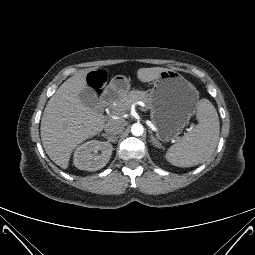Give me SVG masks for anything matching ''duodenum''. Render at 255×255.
<instances>
[{
  "label": "duodenum",
  "mask_w": 255,
  "mask_h": 255,
  "mask_svg": "<svg viewBox=\"0 0 255 255\" xmlns=\"http://www.w3.org/2000/svg\"><path fill=\"white\" fill-rule=\"evenodd\" d=\"M123 89L119 84H112L109 88L102 91L100 94L99 101L103 106H107L112 102V100L117 96L118 92Z\"/></svg>",
  "instance_id": "1"
}]
</instances>
